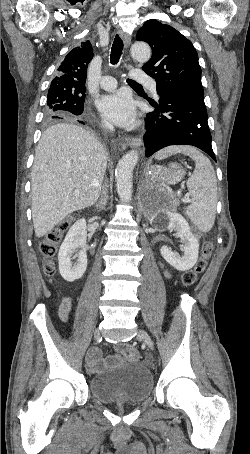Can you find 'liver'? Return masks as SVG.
<instances>
[{"label": "liver", "instance_id": "6515ba94", "mask_svg": "<svg viewBox=\"0 0 250 454\" xmlns=\"http://www.w3.org/2000/svg\"><path fill=\"white\" fill-rule=\"evenodd\" d=\"M105 170L106 152L88 131L69 123L46 129L32 170L35 235L44 236L72 212L92 206L100 195Z\"/></svg>", "mask_w": 250, "mask_h": 454}]
</instances>
